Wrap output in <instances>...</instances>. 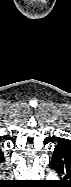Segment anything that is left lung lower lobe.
I'll use <instances>...</instances> for the list:
<instances>
[{"mask_svg": "<svg viewBox=\"0 0 71 187\" xmlns=\"http://www.w3.org/2000/svg\"><path fill=\"white\" fill-rule=\"evenodd\" d=\"M49 166L61 177L60 182H68L71 179V147L57 144Z\"/></svg>", "mask_w": 71, "mask_h": 187, "instance_id": "0a47b994", "label": "left lung lower lobe"}]
</instances>
